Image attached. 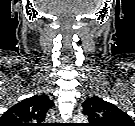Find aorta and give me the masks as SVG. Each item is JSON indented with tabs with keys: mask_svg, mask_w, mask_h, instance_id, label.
Returning <instances> with one entry per match:
<instances>
[{
	"mask_svg": "<svg viewBox=\"0 0 135 126\" xmlns=\"http://www.w3.org/2000/svg\"><path fill=\"white\" fill-rule=\"evenodd\" d=\"M73 120L75 121V122H86L87 121V118L84 116V115H76V116H74V118H73Z\"/></svg>",
	"mask_w": 135,
	"mask_h": 126,
	"instance_id": "1",
	"label": "aorta"
}]
</instances>
